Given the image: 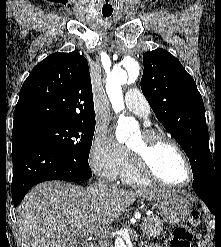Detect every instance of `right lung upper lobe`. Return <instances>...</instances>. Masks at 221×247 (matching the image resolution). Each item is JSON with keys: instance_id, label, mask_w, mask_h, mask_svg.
<instances>
[{"instance_id": "1", "label": "right lung upper lobe", "mask_w": 221, "mask_h": 247, "mask_svg": "<svg viewBox=\"0 0 221 247\" xmlns=\"http://www.w3.org/2000/svg\"><path fill=\"white\" fill-rule=\"evenodd\" d=\"M95 122L87 60L77 52L53 53L25 80L13 130L48 122Z\"/></svg>"}]
</instances>
